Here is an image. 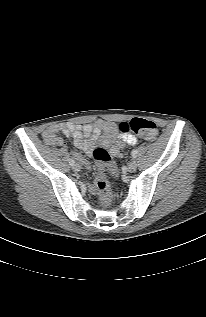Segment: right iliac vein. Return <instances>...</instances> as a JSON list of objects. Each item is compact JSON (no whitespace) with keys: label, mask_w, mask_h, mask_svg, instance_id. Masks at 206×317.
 <instances>
[{"label":"right iliac vein","mask_w":206,"mask_h":317,"mask_svg":"<svg viewBox=\"0 0 206 317\" xmlns=\"http://www.w3.org/2000/svg\"><path fill=\"white\" fill-rule=\"evenodd\" d=\"M80 169H81V167H80L79 164H74V165H73V170H74L75 172L80 171Z\"/></svg>","instance_id":"63e3f726"}]
</instances>
